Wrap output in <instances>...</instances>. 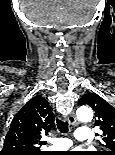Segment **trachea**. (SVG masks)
<instances>
[{"instance_id":"1","label":"trachea","mask_w":115,"mask_h":155,"mask_svg":"<svg viewBox=\"0 0 115 155\" xmlns=\"http://www.w3.org/2000/svg\"><path fill=\"white\" fill-rule=\"evenodd\" d=\"M57 128L60 133H67L68 132V123L63 119L57 118L56 119Z\"/></svg>"}]
</instances>
